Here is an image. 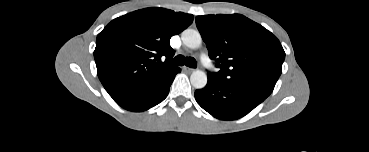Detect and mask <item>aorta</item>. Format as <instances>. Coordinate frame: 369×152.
Instances as JSON below:
<instances>
[{"instance_id":"obj_1","label":"aorta","mask_w":369,"mask_h":152,"mask_svg":"<svg viewBox=\"0 0 369 152\" xmlns=\"http://www.w3.org/2000/svg\"><path fill=\"white\" fill-rule=\"evenodd\" d=\"M184 45L191 49H197L202 44V37L197 30L186 29L182 32ZM191 84L196 89H202L207 84V75L204 71L196 70L190 76Z\"/></svg>"}]
</instances>
